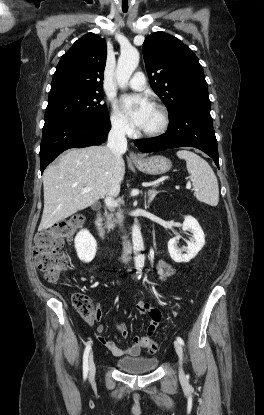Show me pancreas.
<instances>
[{
    "label": "pancreas",
    "mask_w": 264,
    "mask_h": 415,
    "mask_svg": "<svg viewBox=\"0 0 264 415\" xmlns=\"http://www.w3.org/2000/svg\"><path fill=\"white\" fill-rule=\"evenodd\" d=\"M115 226V220L113 218V214H110L109 216H107V222H106V227L108 228V230L113 229Z\"/></svg>",
    "instance_id": "cf45deb5"
}]
</instances>
